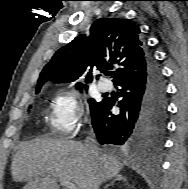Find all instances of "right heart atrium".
<instances>
[{"label": "right heart atrium", "mask_w": 188, "mask_h": 189, "mask_svg": "<svg viewBox=\"0 0 188 189\" xmlns=\"http://www.w3.org/2000/svg\"><path fill=\"white\" fill-rule=\"evenodd\" d=\"M85 113L83 103L73 93H60L53 100L51 125L60 132H71L80 127Z\"/></svg>", "instance_id": "1"}]
</instances>
